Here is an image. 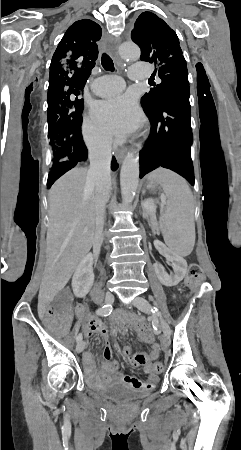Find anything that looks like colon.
<instances>
[{
  "label": "colon",
  "instance_id": "colon-1",
  "mask_svg": "<svg viewBox=\"0 0 241 450\" xmlns=\"http://www.w3.org/2000/svg\"><path fill=\"white\" fill-rule=\"evenodd\" d=\"M202 274H203V271H202L200 265L196 264V263H191L188 267V271H187V275H186V284L190 287L193 286V284L202 277ZM83 310H84L83 304L80 302L78 305H76L74 312L77 314V313L83 312ZM162 369H163V366L161 364H157L155 366V370L157 372L162 371Z\"/></svg>",
  "mask_w": 241,
  "mask_h": 450
}]
</instances>
